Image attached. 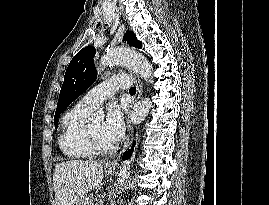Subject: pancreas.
<instances>
[{
    "label": "pancreas",
    "instance_id": "pancreas-1",
    "mask_svg": "<svg viewBox=\"0 0 269 205\" xmlns=\"http://www.w3.org/2000/svg\"><path fill=\"white\" fill-rule=\"evenodd\" d=\"M95 205H102V204L100 203V200H97Z\"/></svg>",
    "mask_w": 269,
    "mask_h": 205
}]
</instances>
